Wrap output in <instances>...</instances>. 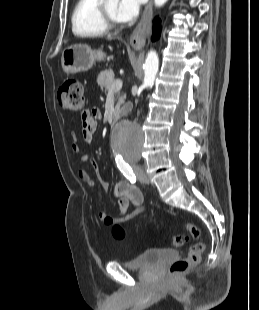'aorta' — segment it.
I'll use <instances>...</instances> for the list:
<instances>
[{"label": "aorta", "instance_id": "aorta-1", "mask_svg": "<svg viewBox=\"0 0 259 310\" xmlns=\"http://www.w3.org/2000/svg\"><path fill=\"white\" fill-rule=\"evenodd\" d=\"M117 2L118 0H109ZM168 0H154L156 7L163 6ZM159 68V59L155 51L147 54L144 67V86L152 87ZM144 142V134L139 125L130 121L121 122L113 134V150L124 159L139 158Z\"/></svg>", "mask_w": 259, "mask_h": 310}]
</instances>
